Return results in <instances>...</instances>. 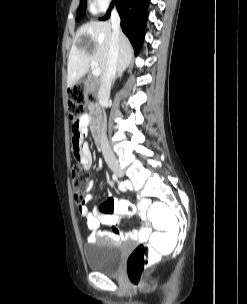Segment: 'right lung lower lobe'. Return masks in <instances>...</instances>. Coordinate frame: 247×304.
<instances>
[{
	"instance_id": "98d812e1",
	"label": "right lung lower lobe",
	"mask_w": 247,
	"mask_h": 304,
	"mask_svg": "<svg viewBox=\"0 0 247 304\" xmlns=\"http://www.w3.org/2000/svg\"><path fill=\"white\" fill-rule=\"evenodd\" d=\"M114 3L121 18L122 30L128 36L135 55H137L144 40L149 0H113L106 15L101 18L102 20L109 18Z\"/></svg>"
}]
</instances>
